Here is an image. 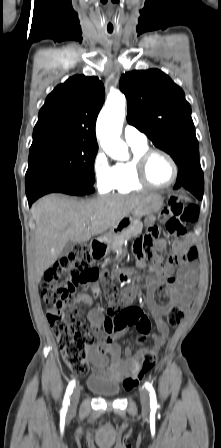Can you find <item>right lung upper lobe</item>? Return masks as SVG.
Listing matches in <instances>:
<instances>
[{"label":"right lung upper lobe","instance_id":"cb5924a9","mask_svg":"<svg viewBox=\"0 0 221 448\" xmlns=\"http://www.w3.org/2000/svg\"><path fill=\"white\" fill-rule=\"evenodd\" d=\"M104 96L97 77L75 75L58 85L39 112L31 148L59 142L97 144L95 123Z\"/></svg>","mask_w":221,"mask_h":448}]
</instances>
